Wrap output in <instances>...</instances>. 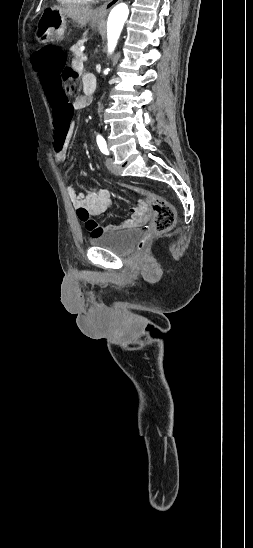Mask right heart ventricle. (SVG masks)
Returning <instances> with one entry per match:
<instances>
[{"instance_id":"right-heart-ventricle-1","label":"right heart ventricle","mask_w":253,"mask_h":548,"mask_svg":"<svg viewBox=\"0 0 253 548\" xmlns=\"http://www.w3.org/2000/svg\"><path fill=\"white\" fill-rule=\"evenodd\" d=\"M57 1L62 4H87L92 2L93 0H57Z\"/></svg>"}]
</instances>
